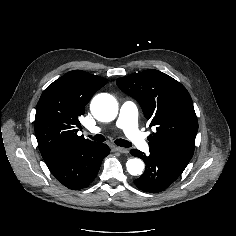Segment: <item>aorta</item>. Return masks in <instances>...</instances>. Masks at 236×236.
<instances>
[{"mask_svg": "<svg viewBox=\"0 0 236 236\" xmlns=\"http://www.w3.org/2000/svg\"><path fill=\"white\" fill-rule=\"evenodd\" d=\"M93 116L100 121H112L118 114V103L110 94L96 95L91 102ZM127 171L131 175H140L144 169V163L139 158H133L126 163Z\"/></svg>", "mask_w": 236, "mask_h": 236, "instance_id": "aorta-1", "label": "aorta"}]
</instances>
